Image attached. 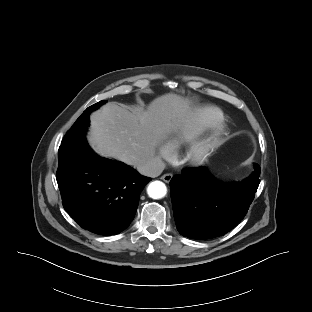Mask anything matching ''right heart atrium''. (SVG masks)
I'll return each mask as SVG.
<instances>
[{"mask_svg":"<svg viewBox=\"0 0 312 312\" xmlns=\"http://www.w3.org/2000/svg\"><path fill=\"white\" fill-rule=\"evenodd\" d=\"M171 154V148L169 144L167 143H162L159 146V155L162 158H168Z\"/></svg>","mask_w":312,"mask_h":312,"instance_id":"1","label":"right heart atrium"}]
</instances>
